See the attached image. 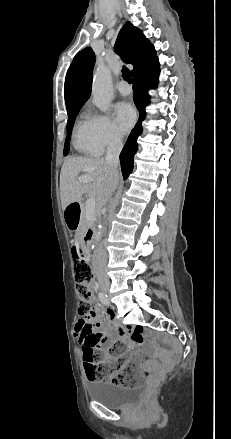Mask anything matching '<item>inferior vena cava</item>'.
<instances>
[{
	"label": "inferior vena cava",
	"mask_w": 231,
	"mask_h": 439,
	"mask_svg": "<svg viewBox=\"0 0 231 439\" xmlns=\"http://www.w3.org/2000/svg\"><path fill=\"white\" fill-rule=\"evenodd\" d=\"M123 147L122 139L118 135H114L107 147L105 162L109 165L112 170L113 175L118 178L119 177V155ZM117 184L115 183L110 189L109 196L115 190ZM108 196V197H109ZM107 262V254L105 249L100 246L96 253V259L94 263V269L98 275L107 279L103 269Z\"/></svg>",
	"instance_id": "obj_1"
}]
</instances>
